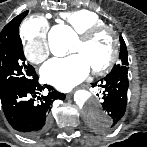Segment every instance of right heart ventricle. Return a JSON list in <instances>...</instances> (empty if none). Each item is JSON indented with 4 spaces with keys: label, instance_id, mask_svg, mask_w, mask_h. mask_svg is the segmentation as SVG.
<instances>
[{
    "label": "right heart ventricle",
    "instance_id": "1",
    "mask_svg": "<svg viewBox=\"0 0 147 147\" xmlns=\"http://www.w3.org/2000/svg\"><path fill=\"white\" fill-rule=\"evenodd\" d=\"M60 18L77 34L105 25L104 20L97 13L87 9L63 13Z\"/></svg>",
    "mask_w": 147,
    "mask_h": 147
}]
</instances>
